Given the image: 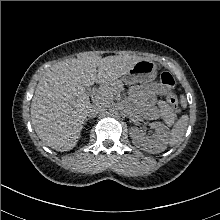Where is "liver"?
I'll return each instance as SVG.
<instances>
[{
	"label": "liver",
	"instance_id": "obj_1",
	"mask_svg": "<svg viewBox=\"0 0 220 220\" xmlns=\"http://www.w3.org/2000/svg\"><path fill=\"white\" fill-rule=\"evenodd\" d=\"M143 59L83 55L53 65L38 82L31 102V120L38 137L57 151L71 150L92 106L86 89L96 83L100 95L118 92L119 78ZM97 103L103 105L100 97L93 100Z\"/></svg>",
	"mask_w": 220,
	"mask_h": 220
}]
</instances>
